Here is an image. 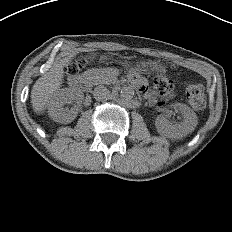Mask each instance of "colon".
Listing matches in <instances>:
<instances>
[{"label": "colon", "instance_id": "1", "mask_svg": "<svg viewBox=\"0 0 232 232\" xmlns=\"http://www.w3.org/2000/svg\"><path fill=\"white\" fill-rule=\"evenodd\" d=\"M85 64L84 59H78L67 66L66 72L69 76H75ZM154 88L160 96H169L173 90V81L164 71H160L155 78ZM187 97L194 109H204L206 97L204 87L201 84H190L187 88Z\"/></svg>", "mask_w": 232, "mask_h": 232}]
</instances>
